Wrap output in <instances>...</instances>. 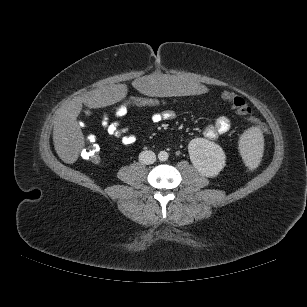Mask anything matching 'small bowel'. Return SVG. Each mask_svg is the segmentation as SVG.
<instances>
[{"instance_id": "small-bowel-1", "label": "small bowel", "mask_w": 307, "mask_h": 307, "mask_svg": "<svg viewBox=\"0 0 307 307\" xmlns=\"http://www.w3.org/2000/svg\"><path fill=\"white\" fill-rule=\"evenodd\" d=\"M127 116L124 114L118 116L116 120H112L108 112L103 113L101 117V125L105 132L111 136L121 140L125 145H132L136 142V135L132 132V129L128 125H123L122 120ZM175 113L170 109L163 111L153 112L150 116V120L154 124H159L165 121L174 119ZM231 127V121L228 117L220 116L213 124L207 126L204 131L206 138L215 140L220 135L225 134Z\"/></svg>"}]
</instances>
